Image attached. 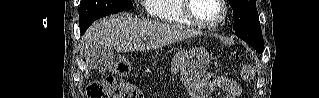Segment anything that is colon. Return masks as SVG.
Segmentation results:
<instances>
[{"mask_svg": "<svg viewBox=\"0 0 319 98\" xmlns=\"http://www.w3.org/2000/svg\"><path fill=\"white\" fill-rule=\"evenodd\" d=\"M130 72V64L120 59L115 65V75H108L102 80L93 81L87 88V98H140L141 94L133 89H126L120 79Z\"/></svg>", "mask_w": 319, "mask_h": 98, "instance_id": "obj_1", "label": "colon"}]
</instances>
